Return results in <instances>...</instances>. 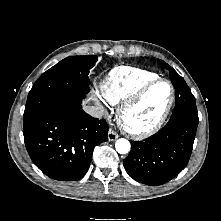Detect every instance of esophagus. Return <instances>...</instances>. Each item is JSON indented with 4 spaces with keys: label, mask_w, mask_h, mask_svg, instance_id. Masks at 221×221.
I'll use <instances>...</instances> for the list:
<instances>
[{
    "label": "esophagus",
    "mask_w": 221,
    "mask_h": 221,
    "mask_svg": "<svg viewBox=\"0 0 221 221\" xmlns=\"http://www.w3.org/2000/svg\"><path fill=\"white\" fill-rule=\"evenodd\" d=\"M118 138V134L114 132L113 130H109L108 132V140L109 141H115Z\"/></svg>",
    "instance_id": "1"
}]
</instances>
